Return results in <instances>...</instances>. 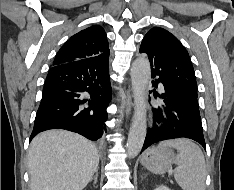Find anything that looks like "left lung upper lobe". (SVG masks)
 <instances>
[{"label":"left lung upper lobe","instance_id":"5c2ea615","mask_svg":"<svg viewBox=\"0 0 234 190\" xmlns=\"http://www.w3.org/2000/svg\"><path fill=\"white\" fill-rule=\"evenodd\" d=\"M140 50L159 57L166 64L170 84L198 105L196 77L189 54L173 34L154 27L143 38Z\"/></svg>","mask_w":234,"mask_h":190}]
</instances>
